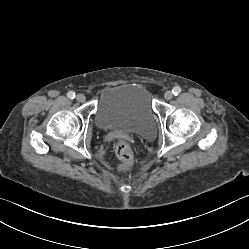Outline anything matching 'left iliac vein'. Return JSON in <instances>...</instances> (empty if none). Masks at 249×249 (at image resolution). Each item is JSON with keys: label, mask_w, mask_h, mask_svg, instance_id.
<instances>
[{"label": "left iliac vein", "mask_w": 249, "mask_h": 249, "mask_svg": "<svg viewBox=\"0 0 249 249\" xmlns=\"http://www.w3.org/2000/svg\"><path fill=\"white\" fill-rule=\"evenodd\" d=\"M164 98H165L166 100H171V99L173 98V93H172L171 91H166V92L164 93Z\"/></svg>", "instance_id": "obj_1"}]
</instances>
